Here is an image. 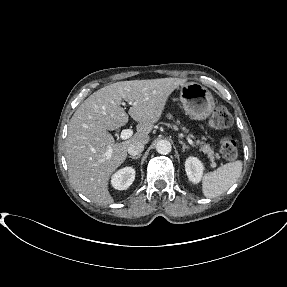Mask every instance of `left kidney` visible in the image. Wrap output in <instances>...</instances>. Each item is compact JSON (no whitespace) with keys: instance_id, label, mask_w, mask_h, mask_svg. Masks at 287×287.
<instances>
[{"instance_id":"1","label":"left kidney","mask_w":287,"mask_h":287,"mask_svg":"<svg viewBox=\"0 0 287 287\" xmlns=\"http://www.w3.org/2000/svg\"><path fill=\"white\" fill-rule=\"evenodd\" d=\"M204 170L203 163L196 157H188L185 161V171L192 183H199Z\"/></svg>"}]
</instances>
